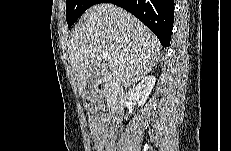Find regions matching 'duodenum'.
Wrapping results in <instances>:
<instances>
[{
  "instance_id": "duodenum-1",
  "label": "duodenum",
  "mask_w": 231,
  "mask_h": 151,
  "mask_svg": "<svg viewBox=\"0 0 231 151\" xmlns=\"http://www.w3.org/2000/svg\"><path fill=\"white\" fill-rule=\"evenodd\" d=\"M96 89L99 94H103L107 92L112 96H116L118 91L115 86L110 85L106 80L99 81L97 83ZM113 111L114 114L112 117L110 115L107 116L110 118L111 122L112 121L119 122L122 118V108L120 106H116L113 108Z\"/></svg>"
}]
</instances>
